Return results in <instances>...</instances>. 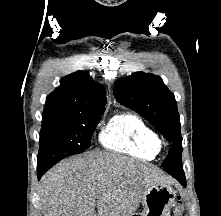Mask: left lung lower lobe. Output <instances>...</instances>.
Returning <instances> with one entry per match:
<instances>
[{
    "label": "left lung lower lobe",
    "mask_w": 221,
    "mask_h": 216,
    "mask_svg": "<svg viewBox=\"0 0 221 216\" xmlns=\"http://www.w3.org/2000/svg\"><path fill=\"white\" fill-rule=\"evenodd\" d=\"M174 178H176L182 185L185 186L186 181H185V175H184V171L181 170L180 174L174 175Z\"/></svg>",
    "instance_id": "0a47b994"
}]
</instances>
